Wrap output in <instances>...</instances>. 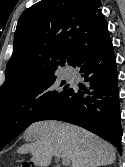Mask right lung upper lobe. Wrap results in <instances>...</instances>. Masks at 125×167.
<instances>
[{
  "label": "right lung upper lobe",
  "mask_w": 125,
  "mask_h": 167,
  "mask_svg": "<svg viewBox=\"0 0 125 167\" xmlns=\"http://www.w3.org/2000/svg\"><path fill=\"white\" fill-rule=\"evenodd\" d=\"M100 0H41L25 10L14 34L0 100L27 91L75 66L81 52L107 29Z\"/></svg>",
  "instance_id": "cb5924a9"
}]
</instances>
